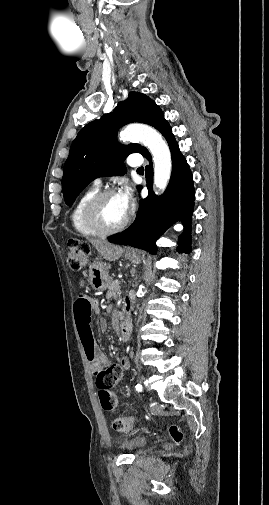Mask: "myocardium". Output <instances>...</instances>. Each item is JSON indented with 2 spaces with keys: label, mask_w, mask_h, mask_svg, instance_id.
<instances>
[{
  "label": "myocardium",
  "mask_w": 269,
  "mask_h": 505,
  "mask_svg": "<svg viewBox=\"0 0 269 505\" xmlns=\"http://www.w3.org/2000/svg\"><path fill=\"white\" fill-rule=\"evenodd\" d=\"M116 194H117L116 191L113 189H106L103 191H99L88 201V203L84 208L85 222L92 230L97 232L99 235H112L121 232L128 226L131 220L130 215L127 214L124 221L114 227H108L104 225L100 220L99 217L100 205L106 198Z\"/></svg>",
  "instance_id": "myocardium-1"
}]
</instances>
